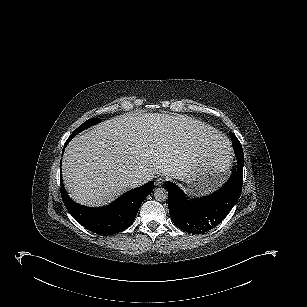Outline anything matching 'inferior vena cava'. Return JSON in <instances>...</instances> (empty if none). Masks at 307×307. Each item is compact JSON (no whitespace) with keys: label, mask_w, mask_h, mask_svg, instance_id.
Masks as SVG:
<instances>
[{"label":"inferior vena cava","mask_w":307,"mask_h":307,"mask_svg":"<svg viewBox=\"0 0 307 307\" xmlns=\"http://www.w3.org/2000/svg\"><path fill=\"white\" fill-rule=\"evenodd\" d=\"M150 179L147 178V177H137V178H134L131 182H130V187L131 188H136L146 182H148Z\"/></svg>","instance_id":"inferior-vena-cava-1"}]
</instances>
